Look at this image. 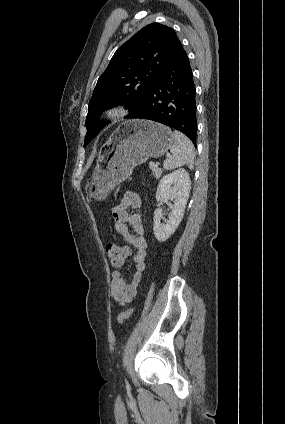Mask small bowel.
<instances>
[{
    "label": "small bowel",
    "mask_w": 285,
    "mask_h": 424,
    "mask_svg": "<svg viewBox=\"0 0 285 424\" xmlns=\"http://www.w3.org/2000/svg\"><path fill=\"white\" fill-rule=\"evenodd\" d=\"M141 206V194L137 191H127L112 213L114 229L135 250V254L132 257L135 271L130 281L125 277V271L123 270L115 269L111 273V296L121 305L128 304L136 296L145 270L147 242L142 216L138 212ZM129 210H134V212ZM129 255L130 250L127 248V257Z\"/></svg>",
    "instance_id": "obj_1"
}]
</instances>
